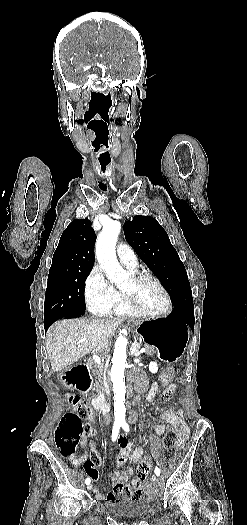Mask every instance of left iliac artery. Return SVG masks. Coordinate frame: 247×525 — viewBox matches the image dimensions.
<instances>
[{"instance_id": "left-iliac-artery-1", "label": "left iliac artery", "mask_w": 247, "mask_h": 525, "mask_svg": "<svg viewBox=\"0 0 247 525\" xmlns=\"http://www.w3.org/2000/svg\"><path fill=\"white\" fill-rule=\"evenodd\" d=\"M121 426H122V428H123L124 431H126V432L129 431V426H128V424H127L125 421H123V422L121 423ZM154 472H155V474H156L157 476L160 475V469H159L158 467H155Z\"/></svg>"}]
</instances>
